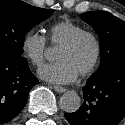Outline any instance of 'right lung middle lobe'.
<instances>
[{
  "label": "right lung middle lobe",
  "instance_id": "obj_1",
  "mask_svg": "<svg viewBox=\"0 0 125 125\" xmlns=\"http://www.w3.org/2000/svg\"><path fill=\"white\" fill-rule=\"evenodd\" d=\"M53 12L20 0H0V48L12 53L14 60H21L25 34Z\"/></svg>",
  "mask_w": 125,
  "mask_h": 125
}]
</instances>
